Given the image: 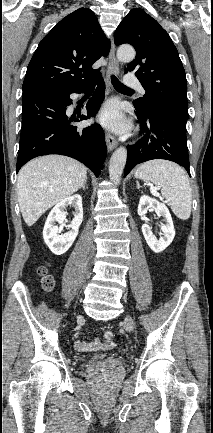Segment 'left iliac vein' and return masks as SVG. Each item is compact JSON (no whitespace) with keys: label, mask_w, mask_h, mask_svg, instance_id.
Returning <instances> with one entry per match:
<instances>
[{"label":"left iliac vein","mask_w":213,"mask_h":433,"mask_svg":"<svg viewBox=\"0 0 213 433\" xmlns=\"http://www.w3.org/2000/svg\"><path fill=\"white\" fill-rule=\"evenodd\" d=\"M125 324L128 330L132 331L134 329V322L130 316L125 318Z\"/></svg>","instance_id":"4c4485c4"}]
</instances>
